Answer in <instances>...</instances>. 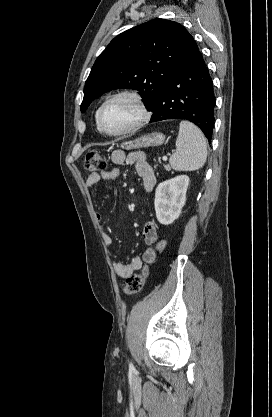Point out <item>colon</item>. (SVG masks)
Returning a JSON list of instances; mask_svg holds the SVG:
<instances>
[{
    "mask_svg": "<svg viewBox=\"0 0 272 417\" xmlns=\"http://www.w3.org/2000/svg\"><path fill=\"white\" fill-rule=\"evenodd\" d=\"M84 167L89 172H96V171H105L107 168L106 160L99 154V152L95 150H90L86 153L84 158ZM167 246L166 240H160L156 242L152 246V250L155 253H161L165 250ZM148 266L144 265L142 271L140 273H135L128 277L125 281V285L123 287V292L125 295L130 296L133 294L139 293L147 279L148 276Z\"/></svg>",
    "mask_w": 272,
    "mask_h": 417,
    "instance_id": "obj_1",
    "label": "colon"
}]
</instances>
